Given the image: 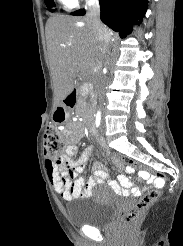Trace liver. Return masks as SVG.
Returning a JSON list of instances; mask_svg holds the SVG:
<instances>
[{
	"label": "liver",
	"mask_w": 183,
	"mask_h": 246,
	"mask_svg": "<svg viewBox=\"0 0 183 246\" xmlns=\"http://www.w3.org/2000/svg\"><path fill=\"white\" fill-rule=\"evenodd\" d=\"M108 32L113 35L111 30ZM46 40L57 105L73 91L77 73L91 74L106 54L87 18L50 17L46 23Z\"/></svg>",
	"instance_id": "obj_1"
}]
</instances>
